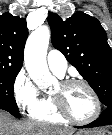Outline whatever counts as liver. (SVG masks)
I'll list each match as a JSON object with an SVG mask.
<instances>
[{"instance_id":"liver-1","label":"liver","mask_w":112,"mask_h":135,"mask_svg":"<svg viewBox=\"0 0 112 135\" xmlns=\"http://www.w3.org/2000/svg\"><path fill=\"white\" fill-rule=\"evenodd\" d=\"M102 135L105 132L95 131ZM72 131L53 127L45 123L34 121H16L12 116L0 110V135H71Z\"/></svg>"}]
</instances>
